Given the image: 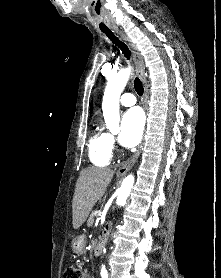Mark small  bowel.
<instances>
[{"mask_svg": "<svg viewBox=\"0 0 221 278\" xmlns=\"http://www.w3.org/2000/svg\"><path fill=\"white\" fill-rule=\"evenodd\" d=\"M83 273H84V278H91L90 273L87 269H84Z\"/></svg>", "mask_w": 221, "mask_h": 278, "instance_id": "small-bowel-1", "label": "small bowel"}]
</instances>
